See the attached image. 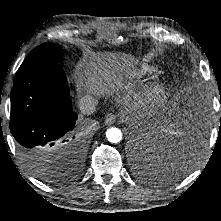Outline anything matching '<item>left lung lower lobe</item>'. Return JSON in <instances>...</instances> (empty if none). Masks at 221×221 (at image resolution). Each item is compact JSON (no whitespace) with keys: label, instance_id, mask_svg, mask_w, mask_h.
Segmentation results:
<instances>
[{"label":"left lung lower lobe","instance_id":"0a47b994","mask_svg":"<svg viewBox=\"0 0 221 221\" xmlns=\"http://www.w3.org/2000/svg\"><path fill=\"white\" fill-rule=\"evenodd\" d=\"M196 141L195 136L194 138L184 140L178 146L170 147V153L168 154H170L171 161L167 167H162L156 157L158 150L163 146V143L158 135L144 134L138 137L134 136L132 138L131 146L139 157L147 158L151 167L157 169V174L153 177L156 178L154 181L167 183L179 178L190 168V165L196 157L195 152L191 150ZM152 176V174L145 175V177L148 178H152Z\"/></svg>","mask_w":221,"mask_h":221}]
</instances>
